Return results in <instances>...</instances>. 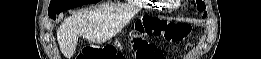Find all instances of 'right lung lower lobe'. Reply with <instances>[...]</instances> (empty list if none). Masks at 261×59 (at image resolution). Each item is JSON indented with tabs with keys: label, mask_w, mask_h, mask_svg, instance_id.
<instances>
[{
	"label": "right lung lower lobe",
	"mask_w": 261,
	"mask_h": 59,
	"mask_svg": "<svg viewBox=\"0 0 261 59\" xmlns=\"http://www.w3.org/2000/svg\"><path fill=\"white\" fill-rule=\"evenodd\" d=\"M52 19H54V20H55V19H56V16L52 17Z\"/></svg>",
	"instance_id": "98d812e1"
}]
</instances>
